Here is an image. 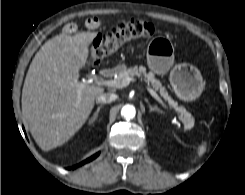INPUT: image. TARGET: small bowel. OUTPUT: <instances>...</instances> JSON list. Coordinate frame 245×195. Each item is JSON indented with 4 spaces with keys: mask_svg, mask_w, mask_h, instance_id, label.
<instances>
[{
    "mask_svg": "<svg viewBox=\"0 0 245 195\" xmlns=\"http://www.w3.org/2000/svg\"><path fill=\"white\" fill-rule=\"evenodd\" d=\"M85 24L86 27L89 29H97L101 25V22L97 18H89L86 20ZM76 30H77V25L75 23H68L64 26V32L66 34H72L76 32Z\"/></svg>",
    "mask_w": 245,
    "mask_h": 195,
    "instance_id": "c3829d8e",
    "label": "small bowel"
}]
</instances>
